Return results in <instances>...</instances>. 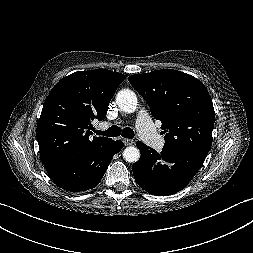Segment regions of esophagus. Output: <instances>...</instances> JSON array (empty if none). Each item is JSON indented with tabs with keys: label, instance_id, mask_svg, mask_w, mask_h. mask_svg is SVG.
I'll list each match as a JSON object with an SVG mask.
<instances>
[{
	"label": "esophagus",
	"instance_id": "esophagus-1",
	"mask_svg": "<svg viewBox=\"0 0 253 253\" xmlns=\"http://www.w3.org/2000/svg\"><path fill=\"white\" fill-rule=\"evenodd\" d=\"M125 146L133 145L134 141L132 139H124L123 140Z\"/></svg>",
	"mask_w": 253,
	"mask_h": 253
}]
</instances>
